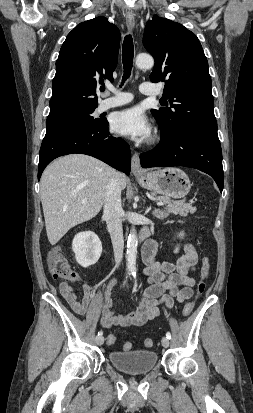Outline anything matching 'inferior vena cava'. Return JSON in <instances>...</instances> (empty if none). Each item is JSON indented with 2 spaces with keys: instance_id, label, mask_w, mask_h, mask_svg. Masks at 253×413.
Wrapping results in <instances>:
<instances>
[{
  "instance_id": "obj_1",
  "label": "inferior vena cava",
  "mask_w": 253,
  "mask_h": 413,
  "mask_svg": "<svg viewBox=\"0 0 253 413\" xmlns=\"http://www.w3.org/2000/svg\"><path fill=\"white\" fill-rule=\"evenodd\" d=\"M122 214L121 186L117 178V172L115 171L106 188L104 217L106 218L107 228L111 236L117 266H119L122 261L124 248Z\"/></svg>"
}]
</instances>
